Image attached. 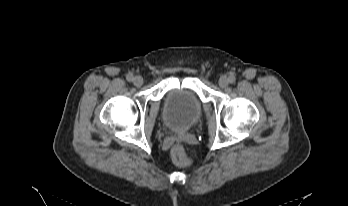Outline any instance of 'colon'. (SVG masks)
<instances>
[{"mask_svg":"<svg viewBox=\"0 0 348 206\" xmlns=\"http://www.w3.org/2000/svg\"><path fill=\"white\" fill-rule=\"evenodd\" d=\"M174 163L179 166H187L189 164V157L181 145H175L171 151Z\"/></svg>","mask_w":348,"mask_h":206,"instance_id":"5ec220e1","label":"colon"}]
</instances>
